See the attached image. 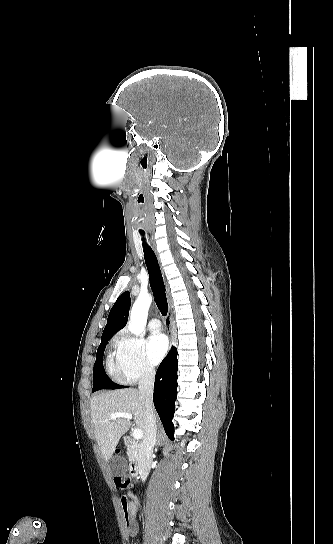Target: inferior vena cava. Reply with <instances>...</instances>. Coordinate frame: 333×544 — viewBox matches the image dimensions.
<instances>
[{
    "mask_svg": "<svg viewBox=\"0 0 333 544\" xmlns=\"http://www.w3.org/2000/svg\"><path fill=\"white\" fill-rule=\"evenodd\" d=\"M155 370L152 367H144L139 380V394L145 399V432L140 446L138 459L139 475L142 481L147 479L150 472L153 448L156 443V415L153 406V387Z\"/></svg>",
    "mask_w": 333,
    "mask_h": 544,
    "instance_id": "inferior-vena-cava-1",
    "label": "inferior vena cava"
}]
</instances>
